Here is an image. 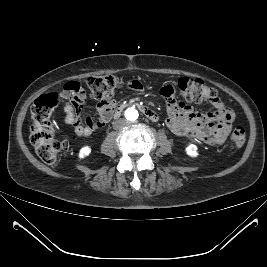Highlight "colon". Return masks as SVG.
Masks as SVG:
<instances>
[{
  "instance_id": "colon-1",
  "label": "colon",
  "mask_w": 267,
  "mask_h": 267,
  "mask_svg": "<svg viewBox=\"0 0 267 267\" xmlns=\"http://www.w3.org/2000/svg\"><path fill=\"white\" fill-rule=\"evenodd\" d=\"M177 84L186 102L206 103L217 99L216 90L206 85L201 79L181 77ZM87 86L95 100L107 103L119 88L120 81L112 75L94 76L88 78ZM58 101L56 93H48L40 96L31 109L33 123L30 129V141L39 158L49 165L56 164L61 154L69 149L72 142L70 136H63L61 139L54 136L51 115ZM245 140V129L241 126L236 127L230 138L231 144L240 148Z\"/></svg>"
}]
</instances>
